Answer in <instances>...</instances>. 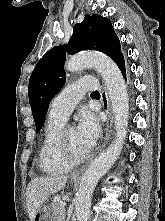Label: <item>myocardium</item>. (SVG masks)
<instances>
[{
    "label": "myocardium",
    "instance_id": "f54148a6",
    "mask_svg": "<svg viewBox=\"0 0 165 221\" xmlns=\"http://www.w3.org/2000/svg\"><path fill=\"white\" fill-rule=\"evenodd\" d=\"M66 132H67V129L61 131L60 136H59V142H58L59 152L62 158L72 166H75V165H78L87 161L91 155V151L90 150L87 151L82 156L75 155L68 143Z\"/></svg>",
    "mask_w": 165,
    "mask_h": 221
}]
</instances>
